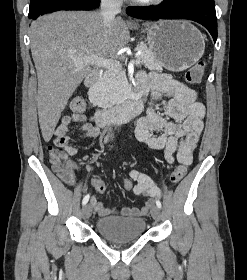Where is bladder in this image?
I'll use <instances>...</instances> for the list:
<instances>
[{
  "label": "bladder",
  "mask_w": 247,
  "mask_h": 280,
  "mask_svg": "<svg viewBox=\"0 0 247 280\" xmlns=\"http://www.w3.org/2000/svg\"><path fill=\"white\" fill-rule=\"evenodd\" d=\"M95 227L102 237L123 242L140 238L145 232L146 222L138 217L110 216L99 218Z\"/></svg>",
  "instance_id": "1"
}]
</instances>
